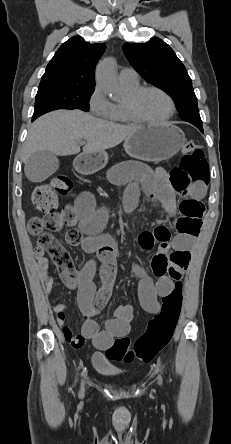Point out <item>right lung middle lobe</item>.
Instances as JSON below:
<instances>
[{
	"instance_id": "dd1d6c3e",
	"label": "right lung middle lobe",
	"mask_w": 231,
	"mask_h": 444,
	"mask_svg": "<svg viewBox=\"0 0 231 444\" xmlns=\"http://www.w3.org/2000/svg\"><path fill=\"white\" fill-rule=\"evenodd\" d=\"M94 87H44L39 88L35 99V109L32 120L42 114L56 109L88 110V99Z\"/></svg>"
}]
</instances>
